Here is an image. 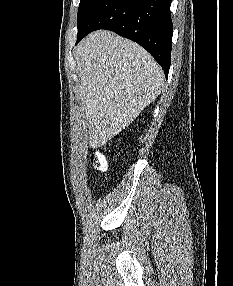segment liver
<instances>
[{"instance_id": "obj_1", "label": "liver", "mask_w": 233, "mask_h": 286, "mask_svg": "<svg viewBox=\"0 0 233 286\" xmlns=\"http://www.w3.org/2000/svg\"><path fill=\"white\" fill-rule=\"evenodd\" d=\"M76 60L91 148L106 144L128 126L164 85L161 67L146 50L109 31L82 40Z\"/></svg>"}]
</instances>
